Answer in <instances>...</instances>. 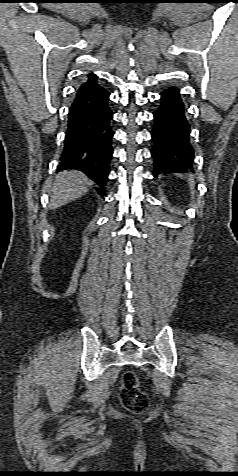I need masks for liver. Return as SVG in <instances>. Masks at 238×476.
Wrapping results in <instances>:
<instances>
[{"instance_id": "1", "label": "liver", "mask_w": 238, "mask_h": 476, "mask_svg": "<svg viewBox=\"0 0 238 476\" xmlns=\"http://www.w3.org/2000/svg\"><path fill=\"white\" fill-rule=\"evenodd\" d=\"M93 182L78 171H64L55 176L49 209H56L86 194Z\"/></svg>"}]
</instances>
